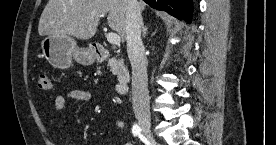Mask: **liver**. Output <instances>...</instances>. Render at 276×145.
Returning a JSON list of instances; mask_svg holds the SVG:
<instances>
[{"mask_svg":"<svg viewBox=\"0 0 276 145\" xmlns=\"http://www.w3.org/2000/svg\"><path fill=\"white\" fill-rule=\"evenodd\" d=\"M145 5L140 1V10H144ZM105 14H108L109 27L124 41L125 0H49L41 14L38 33L41 36L67 35L88 40L95 35L99 19Z\"/></svg>","mask_w":276,"mask_h":145,"instance_id":"1","label":"liver"}]
</instances>
